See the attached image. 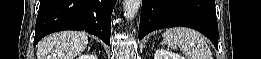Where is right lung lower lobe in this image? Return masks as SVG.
Segmentation results:
<instances>
[{"mask_svg":"<svg viewBox=\"0 0 261 59\" xmlns=\"http://www.w3.org/2000/svg\"><path fill=\"white\" fill-rule=\"evenodd\" d=\"M116 0H41L34 46L47 34L83 30L110 45L111 14Z\"/></svg>","mask_w":261,"mask_h":59,"instance_id":"98d812e1","label":"right lung lower lobe"}]
</instances>
